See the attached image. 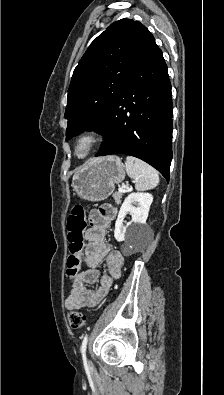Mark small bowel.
<instances>
[{
  "label": "small bowel",
  "mask_w": 224,
  "mask_h": 395,
  "mask_svg": "<svg viewBox=\"0 0 224 395\" xmlns=\"http://www.w3.org/2000/svg\"><path fill=\"white\" fill-rule=\"evenodd\" d=\"M117 215V208L105 206L90 212V228L86 232V269L75 278L65 307L68 310L80 309L84 306H97L108 294L113 280L118 279L124 265V257L112 243L105 239L106 232ZM105 260L107 274H101L99 264ZM99 280L96 289L87 288Z\"/></svg>",
  "instance_id": "c3829d8e"
}]
</instances>
